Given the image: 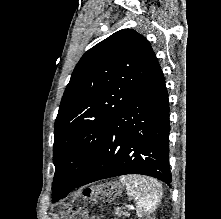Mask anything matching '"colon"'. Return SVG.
<instances>
[{
	"mask_svg": "<svg viewBox=\"0 0 221 219\" xmlns=\"http://www.w3.org/2000/svg\"><path fill=\"white\" fill-rule=\"evenodd\" d=\"M114 191V187L110 184L101 186L97 190H85L84 196L91 197L97 196L103 201H107L110 198L111 193ZM65 219H95L91 217L85 209L78 208L70 210L66 213Z\"/></svg>",
	"mask_w": 221,
	"mask_h": 219,
	"instance_id": "1",
	"label": "colon"
}]
</instances>
